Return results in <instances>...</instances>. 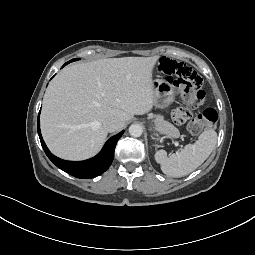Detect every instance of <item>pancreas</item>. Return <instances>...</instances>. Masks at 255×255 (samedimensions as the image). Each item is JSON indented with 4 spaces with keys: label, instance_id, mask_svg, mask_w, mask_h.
<instances>
[{
    "label": "pancreas",
    "instance_id": "obj_1",
    "mask_svg": "<svg viewBox=\"0 0 255 255\" xmlns=\"http://www.w3.org/2000/svg\"><path fill=\"white\" fill-rule=\"evenodd\" d=\"M155 124L160 133L166 134L168 137H179V130L170 122L165 121L162 116H156Z\"/></svg>",
    "mask_w": 255,
    "mask_h": 255
}]
</instances>
